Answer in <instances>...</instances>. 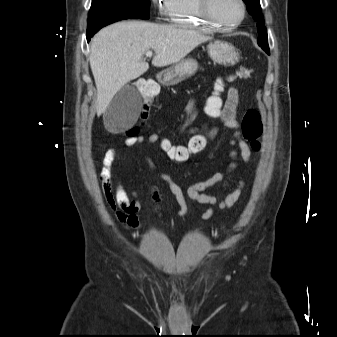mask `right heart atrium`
Here are the masks:
<instances>
[{
    "mask_svg": "<svg viewBox=\"0 0 337 337\" xmlns=\"http://www.w3.org/2000/svg\"><path fill=\"white\" fill-rule=\"evenodd\" d=\"M168 0H152L155 6L158 8L160 14L166 13Z\"/></svg>",
    "mask_w": 337,
    "mask_h": 337,
    "instance_id": "right-heart-atrium-1",
    "label": "right heart atrium"
}]
</instances>
